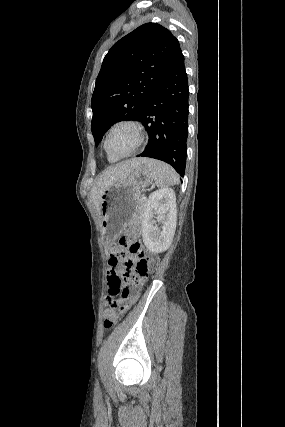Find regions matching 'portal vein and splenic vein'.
<instances>
[{"label": "portal vein and splenic vein", "instance_id": "18ae733b", "mask_svg": "<svg viewBox=\"0 0 285 427\" xmlns=\"http://www.w3.org/2000/svg\"><path fill=\"white\" fill-rule=\"evenodd\" d=\"M141 200H142V201H145V200H146V197H145V196H143V197L141 198Z\"/></svg>", "mask_w": 285, "mask_h": 427}]
</instances>
